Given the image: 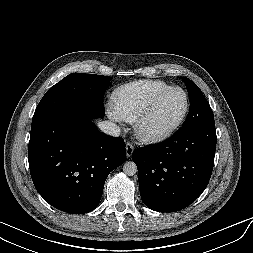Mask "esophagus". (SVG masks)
Returning <instances> with one entry per match:
<instances>
[{
	"label": "esophagus",
	"instance_id": "34e87169",
	"mask_svg": "<svg viewBox=\"0 0 253 253\" xmlns=\"http://www.w3.org/2000/svg\"><path fill=\"white\" fill-rule=\"evenodd\" d=\"M133 151H134L133 144L130 142H127L126 143V156H127V158L131 157Z\"/></svg>",
	"mask_w": 253,
	"mask_h": 253
}]
</instances>
